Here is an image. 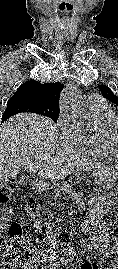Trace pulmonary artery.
<instances>
[{
  "label": "pulmonary artery",
  "mask_w": 118,
  "mask_h": 269,
  "mask_svg": "<svg viewBox=\"0 0 118 269\" xmlns=\"http://www.w3.org/2000/svg\"><path fill=\"white\" fill-rule=\"evenodd\" d=\"M85 102L90 110L103 107L107 104L104 97L98 93H90Z\"/></svg>",
  "instance_id": "obj_1"
}]
</instances>
